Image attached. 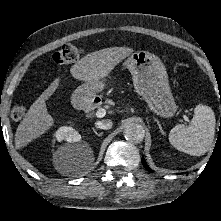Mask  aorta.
Wrapping results in <instances>:
<instances>
[{"mask_svg": "<svg viewBox=\"0 0 221 221\" xmlns=\"http://www.w3.org/2000/svg\"><path fill=\"white\" fill-rule=\"evenodd\" d=\"M123 134L127 140L139 143L144 139L145 130L142 125L132 122L125 125Z\"/></svg>", "mask_w": 221, "mask_h": 221, "instance_id": "1", "label": "aorta"}]
</instances>
